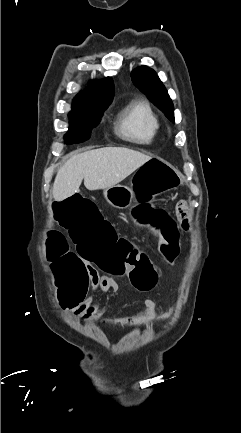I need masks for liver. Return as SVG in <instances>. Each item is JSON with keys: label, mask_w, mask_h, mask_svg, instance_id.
Listing matches in <instances>:
<instances>
[{"label": "liver", "mask_w": 241, "mask_h": 433, "mask_svg": "<svg viewBox=\"0 0 241 433\" xmlns=\"http://www.w3.org/2000/svg\"><path fill=\"white\" fill-rule=\"evenodd\" d=\"M151 157L123 147H107L73 155L57 172L53 198L60 202L76 192L84 179L88 190L115 186Z\"/></svg>", "instance_id": "obj_1"}]
</instances>
